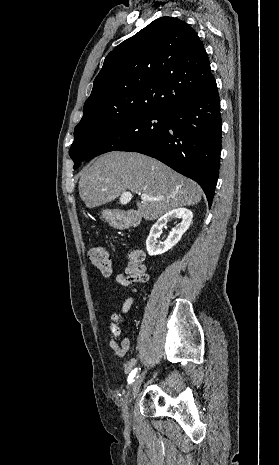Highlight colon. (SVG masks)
<instances>
[{"instance_id":"obj_1","label":"colon","mask_w":279,"mask_h":465,"mask_svg":"<svg viewBox=\"0 0 279 465\" xmlns=\"http://www.w3.org/2000/svg\"><path fill=\"white\" fill-rule=\"evenodd\" d=\"M88 257L92 265L105 276L112 275V262L107 251L99 246L92 245L88 250ZM129 263L127 267L128 281L133 285L144 284L148 276L146 274L144 261V253L142 250L133 249L128 256ZM112 332L117 333V328L112 327Z\"/></svg>"}]
</instances>
